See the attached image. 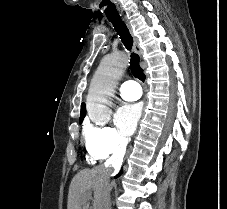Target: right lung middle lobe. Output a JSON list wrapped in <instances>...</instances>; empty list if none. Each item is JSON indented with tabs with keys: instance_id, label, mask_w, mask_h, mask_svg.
I'll use <instances>...</instances> for the list:
<instances>
[{
	"instance_id": "obj_1",
	"label": "right lung middle lobe",
	"mask_w": 227,
	"mask_h": 209,
	"mask_svg": "<svg viewBox=\"0 0 227 209\" xmlns=\"http://www.w3.org/2000/svg\"><path fill=\"white\" fill-rule=\"evenodd\" d=\"M83 119H80V123H82Z\"/></svg>"
}]
</instances>
